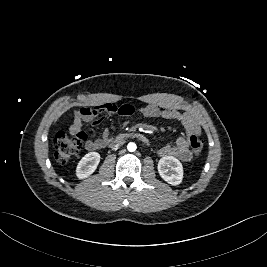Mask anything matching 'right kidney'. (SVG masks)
I'll return each mask as SVG.
<instances>
[{
  "mask_svg": "<svg viewBox=\"0 0 267 267\" xmlns=\"http://www.w3.org/2000/svg\"><path fill=\"white\" fill-rule=\"evenodd\" d=\"M100 162V154L98 152L87 153L78 163L76 168V176L79 179L89 177L94 173Z\"/></svg>",
  "mask_w": 267,
  "mask_h": 267,
  "instance_id": "obj_1",
  "label": "right kidney"
}]
</instances>
